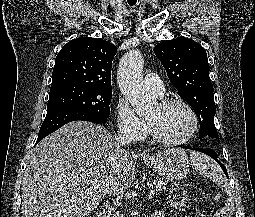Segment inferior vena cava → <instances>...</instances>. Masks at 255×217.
I'll use <instances>...</instances> for the list:
<instances>
[{
  "label": "inferior vena cava",
  "instance_id": "inferior-vena-cava-1",
  "mask_svg": "<svg viewBox=\"0 0 255 217\" xmlns=\"http://www.w3.org/2000/svg\"><path fill=\"white\" fill-rule=\"evenodd\" d=\"M133 140L132 134L128 130H120L118 136L115 138V147L119 151L122 146L131 144Z\"/></svg>",
  "mask_w": 255,
  "mask_h": 217
}]
</instances>
